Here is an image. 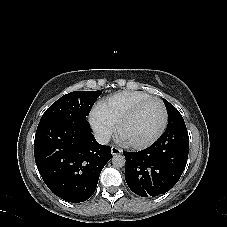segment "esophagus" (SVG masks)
<instances>
[{
  "label": "esophagus",
  "mask_w": 227,
  "mask_h": 227,
  "mask_svg": "<svg viewBox=\"0 0 227 227\" xmlns=\"http://www.w3.org/2000/svg\"><path fill=\"white\" fill-rule=\"evenodd\" d=\"M111 153H112L113 156L114 155H118V154L122 153V150L117 148V147H112L111 148Z\"/></svg>",
  "instance_id": "34e87169"
}]
</instances>
